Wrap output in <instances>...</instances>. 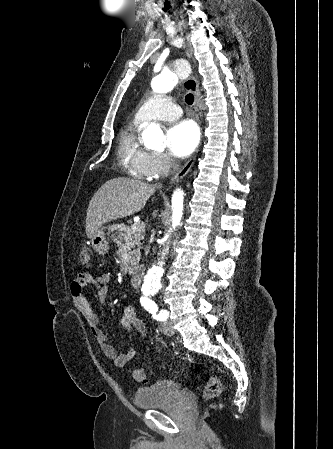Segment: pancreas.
<instances>
[{
	"mask_svg": "<svg viewBox=\"0 0 333 449\" xmlns=\"http://www.w3.org/2000/svg\"><path fill=\"white\" fill-rule=\"evenodd\" d=\"M113 234V241L119 246L125 245L128 252V261L131 266L139 263L141 253L140 248H135L141 245V240L143 238L141 231H133L131 227L125 226L124 224L113 225L110 228Z\"/></svg>",
	"mask_w": 333,
	"mask_h": 449,
	"instance_id": "cf45deb5",
	"label": "pancreas"
}]
</instances>
